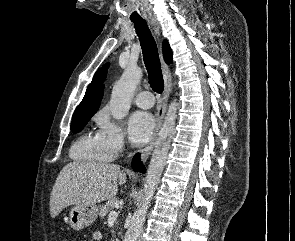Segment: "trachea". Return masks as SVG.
Masks as SVG:
<instances>
[{
	"instance_id": "trachea-1",
	"label": "trachea",
	"mask_w": 295,
	"mask_h": 241,
	"mask_svg": "<svg viewBox=\"0 0 295 241\" xmlns=\"http://www.w3.org/2000/svg\"><path fill=\"white\" fill-rule=\"evenodd\" d=\"M133 23L141 43L149 84L153 91L161 94L164 90V80L156 42L145 20H135Z\"/></svg>"
}]
</instances>
